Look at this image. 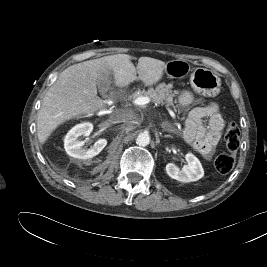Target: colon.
<instances>
[{
	"label": "colon",
	"mask_w": 267,
	"mask_h": 267,
	"mask_svg": "<svg viewBox=\"0 0 267 267\" xmlns=\"http://www.w3.org/2000/svg\"><path fill=\"white\" fill-rule=\"evenodd\" d=\"M226 152L221 153L215 160L216 169L222 173H229L236 160V152L240 143V130L235 123H229L224 132Z\"/></svg>",
	"instance_id": "5ec220e1"
}]
</instances>
